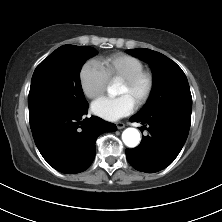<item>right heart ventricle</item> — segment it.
I'll list each match as a JSON object with an SVG mask.
<instances>
[{
  "label": "right heart ventricle",
  "instance_id": "e07e8e85",
  "mask_svg": "<svg viewBox=\"0 0 222 222\" xmlns=\"http://www.w3.org/2000/svg\"><path fill=\"white\" fill-rule=\"evenodd\" d=\"M99 64L110 80H123L144 68L140 59L124 53H116L102 58Z\"/></svg>",
  "mask_w": 222,
  "mask_h": 222
}]
</instances>
